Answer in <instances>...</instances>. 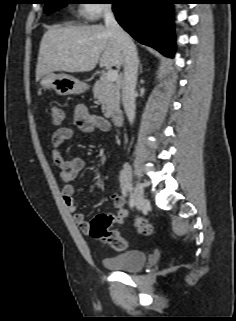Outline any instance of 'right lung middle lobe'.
I'll return each mask as SVG.
<instances>
[{
    "label": "right lung middle lobe",
    "mask_w": 236,
    "mask_h": 321,
    "mask_svg": "<svg viewBox=\"0 0 236 321\" xmlns=\"http://www.w3.org/2000/svg\"><path fill=\"white\" fill-rule=\"evenodd\" d=\"M47 1L48 2H46V6L44 9L45 13L47 14L53 11H57L67 4L66 0H47Z\"/></svg>",
    "instance_id": "right-lung-middle-lobe-1"
}]
</instances>
